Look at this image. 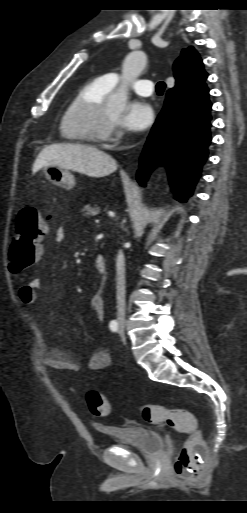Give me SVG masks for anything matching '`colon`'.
Returning a JSON list of instances; mask_svg holds the SVG:
<instances>
[{"label": "colon", "mask_w": 247, "mask_h": 513, "mask_svg": "<svg viewBox=\"0 0 247 513\" xmlns=\"http://www.w3.org/2000/svg\"><path fill=\"white\" fill-rule=\"evenodd\" d=\"M47 231L48 225L35 207H25L20 211L9 250V263L13 273L28 269L41 256V242ZM86 403L90 412L97 417H106L110 413L107 399L98 391H89L86 394ZM139 413L148 423L166 424L187 434L174 461L173 470L178 478H195L207 452L194 414L184 409L150 404L140 405Z\"/></svg>", "instance_id": "colon-1"}]
</instances>
